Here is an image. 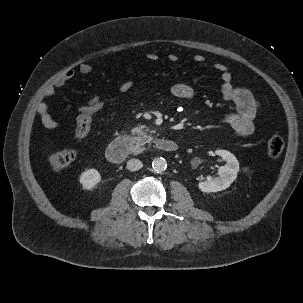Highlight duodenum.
I'll return each mask as SVG.
<instances>
[{
    "label": "duodenum",
    "mask_w": 303,
    "mask_h": 303,
    "mask_svg": "<svg viewBox=\"0 0 303 303\" xmlns=\"http://www.w3.org/2000/svg\"><path fill=\"white\" fill-rule=\"evenodd\" d=\"M156 149L172 153L177 151L178 145L170 139H156ZM131 152V139L128 136H120L114 139L106 149V157L112 163H121Z\"/></svg>",
    "instance_id": "obj_1"
}]
</instances>
